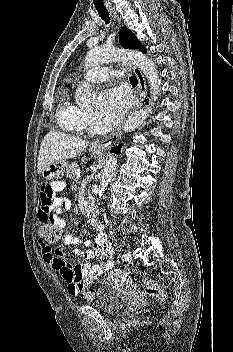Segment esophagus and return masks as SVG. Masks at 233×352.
Listing matches in <instances>:
<instances>
[{
  "mask_svg": "<svg viewBox=\"0 0 233 352\" xmlns=\"http://www.w3.org/2000/svg\"><path fill=\"white\" fill-rule=\"evenodd\" d=\"M110 14L112 15L114 21H116L117 23H120V19L118 18L116 12L113 9H110ZM132 71L137 77L138 88H137V103L130 110V114L135 112L137 109L141 107L147 94V85H146V80L143 73L137 67H132ZM121 135H122V130H121V126H119L117 131L113 133L111 136H109L108 138H106L105 140L93 142L91 144V148L106 150L113 143H115L121 137Z\"/></svg>",
  "mask_w": 233,
  "mask_h": 352,
  "instance_id": "obj_1",
  "label": "esophagus"
}]
</instances>
